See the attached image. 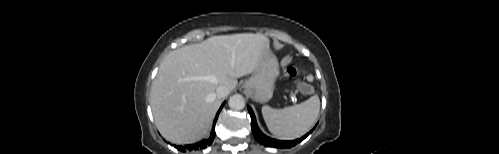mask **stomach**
I'll list each match as a JSON object with an SVG mask.
<instances>
[{"instance_id": "1", "label": "stomach", "mask_w": 499, "mask_h": 154, "mask_svg": "<svg viewBox=\"0 0 499 154\" xmlns=\"http://www.w3.org/2000/svg\"><path fill=\"white\" fill-rule=\"evenodd\" d=\"M278 76L277 58L268 51L259 63L254 75L244 82L243 88L255 101L267 102L273 96L274 83Z\"/></svg>"}]
</instances>
